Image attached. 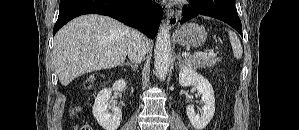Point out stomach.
<instances>
[{
    "label": "stomach",
    "mask_w": 299,
    "mask_h": 130,
    "mask_svg": "<svg viewBox=\"0 0 299 130\" xmlns=\"http://www.w3.org/2000/svg\"><path fill=\"white\" fill-rule=\"evenodd\" d=\"M176 41L182 46L199 47L207 39L205 29L196 23H187L174 34Z\"/></svg>",
    "instance_id": "1"
}]
</instances>
